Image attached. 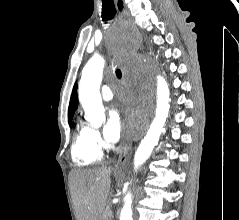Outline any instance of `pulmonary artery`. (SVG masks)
<instances>
[{"label": "pulmonary artery", "mask_w": 239, "mask_h": 220, "mask_svg": "<svg viewBox=\"0 0 239 220\" xmlns=\"http://www.w3.org/2000/svg\"><path fill=\"white\" fill-rule=\"evenodd\" d=\"M101 95L105 101H110L113 98L112 89L108 85H104L101 88Z\"/></svg>", "instance_id": "pulmonary-artery-1"}]
</instances>
